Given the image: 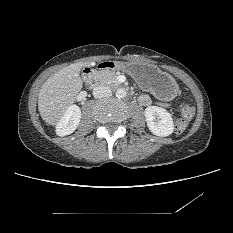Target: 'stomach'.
Returning a JSON list of instances; mask_svg holds the SVG:
<instances>
[{"label":"stomach","mask_w":233,"mask_h":233,"mask_svg":"<svg viewBox=\"0 0 233 233\" xmlns=\"http://www.w3.org/2000/svg\"><path fill=\"white\" fill-rule=\"evenodd\" d=\"M118 67L129 74L143 89L162 100H171L178 93L175 79L153 64L119 62Z\"/></svg>","instance_id":"1"}]
</instances>
